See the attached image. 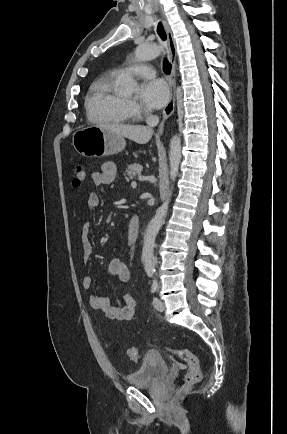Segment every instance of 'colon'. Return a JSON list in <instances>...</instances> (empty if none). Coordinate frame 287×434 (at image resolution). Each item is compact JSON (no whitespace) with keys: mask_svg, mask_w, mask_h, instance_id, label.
<instances>
[{"mask_svg":"<svg viewBox=\"0 0 287 434\" xmlns=\"http://www.w3.org/2000/svg\"><path fill=\"white\" fill-rule=\"evenodd\" d=\"M86 178L85 168L81 164L75 165L73 169L72 185L77 188L82 185ZM168 351L181 360L185 361L189 366V371L185 377L184 384L179 390V393H183L193 386L197 385L202 379V372L200 369V363L197 356L187 348H168ZM126 356L132 360H138V349L134 346L126 349Z\"/></svg>","mask_w":287,"mask_h":434,"instance_id":"obj_1","label":"colon"}]
</instances>
